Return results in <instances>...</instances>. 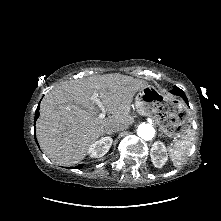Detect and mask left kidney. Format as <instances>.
<instances>
[{"mask_svg":"<svg viewBox=\"0 0 221 221\" xmlns=\"http://www.w3.org/2000/svg\"><path fill=\"white\" fill-rule=\"evenodd\" d=\"M151 161L153 165L157 168H162L166 161L168 160L167 150L165 145L156 141L150 150Z\"/></svg>","mask_w":221,"mask_h":221,"instance_id":"left-kidney-1","label":"left kidney"}]
</instances>
